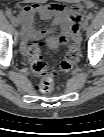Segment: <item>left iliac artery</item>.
Listing matches in <instances>:
<instances>
[{
    "mask_svg": "<svg viewBox=\"0 0 104 137\" xmlns=\"http://www.w3.org/2000/svg\"><path fill=\"white\" fill-rule=\"evenodd\" d=\"M94 17V15H93V13H89L88 15H87V18L90 20V19H92Z\"/></svg>",
    "mask_w": 104,
    "mask_h": 137,
    "instance_id": "left-iliac-artery-1",
    "label": "left iliac artery"
}]
</instances>
